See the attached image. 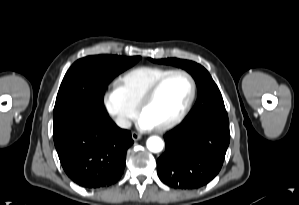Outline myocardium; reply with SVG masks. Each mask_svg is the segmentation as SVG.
<instances>
[{
	"mask_svg": "<svg viewBox=\"0 0 299 205\" xmlns=\"http://www.w3.org/2000/svg\"><path fill=\"white\" fill-rule=\"evenodd\" d=\"M184 75L185 77L188 78V80L190 81V85H191V90H190V95L189 98L185 104V106L183 107V109L181 110V112L172 120L156 126L155 129L157 131H166L169 130L175 126H177L178 124H180L185 117L187 116V114L189 113L195 97H196V92H197V85H196V81L194 79V77L186 70L183 69H175V70H171L170 72L166 73L165 75H163L162 77H160L159 79H157L151 86L150 88L145 92V94L143 95L141 101L139 102L138 105V112L139 114L142 115V112L144 111V109L152 102V100L155 98V96L157 95L158 91L160 90V88L162 87V85L172 76L174 75Z\"/></svg>",
	"mask_w": 299,
	"mask_h": 205,
	"instance_id": "1",
	"label": "myocardium"
}]
</instances>
